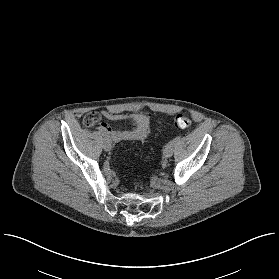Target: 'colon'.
<instances>
[{"mask_svg":"<svg viewBox=\"0 0 279 279\" xmlns=\"http://www.w3.org/2000/svg\"><path fill=\"white\" fill-rule=\"evenodd\" d=\"M173 123L176 128L185 129L190 126L191 120L185 114H178L177 116H175Z\"/></svg>","mask_w":279,"mask_h":279,"instance_id":"obj_1","label":"colon"}]
</instances>
